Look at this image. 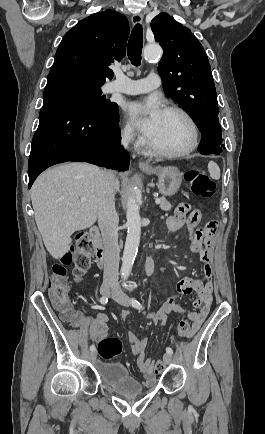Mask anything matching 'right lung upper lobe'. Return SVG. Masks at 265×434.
Returning a JSON list of instances; mask_svg holds the SVG:
<instances>
[{
    "label": "right lung upper lobe",
    "mask_w": 265,
    "mask_h": 434,
    "mask_svg": "<svg viewBox=\"0 0 265 434\" xmlns=\"http://www.w3.org/2000/svg\"><path fill=\"white\" fill-rule=\"evenodd\" d=\"M129 32L127 18L115 10L90 15L64 35L48 76L74 74L102 82L112 79L110 66L125 56Z\"/></svg>",
    "instance_id": "right-lung-upper-lobe-1"
}]
</instances>
